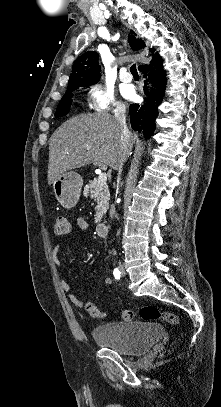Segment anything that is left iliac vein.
I'll return each instance as SVG.
<instances>
[{
    "label": "left iliac vein",
    "instance_id": "4c4485c4",
    "mask_svg": "<svg viewBox=\"0 0 221 407\" xmlns=\"http://www.w3.org/2000/svg\"><path fill=\"white\" fill-rule=\"evenodd\" d=\"M120 269H121V274H122V276H125V275H126V271H125L124 267L121 266Z\"/></svg>",
    "mask_w": 221,
    "mask_h": 407
}]
</instances>
